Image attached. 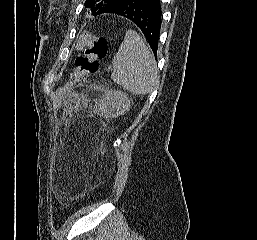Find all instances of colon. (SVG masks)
I'll return each mask as SVG.
<instances>
[{
    "instance_id": "obj_1",
    "label": "colon",
    "mask_w": 257,
    "mask_h": 240,
    "mask_svg": "<svg viewBox=\"0 0 257 240\" xmlns=\"http://www.w3.org/2000/svg\"><path fill=\"white\" fill-rule=\"evenodd\" d=\"M77 49L81 51L75 59V69L65 85L55 93V104L59 107L67 94L71 92L86 75L99 70L100 61L108 56L109 46L104 37L93 33H83L78 40Z\"/></svg>"
}]
</instances>
